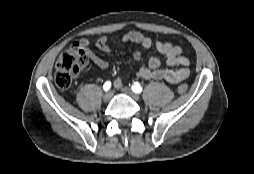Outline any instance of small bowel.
<instances>
[{"label": "small bowel", "instance_id": "obj_1", "mask_svg": "<svg viewBox=\"0 0 254 174\" xmlns=\"http://www.w3.org/2000/svg\"><path fill=\"white\" fill-rule=\"evenodd\" d=\"M121 42H132L140 44L142 47L149 49L154 47L161 55L164 56L169 69L161 68V61L156 57L149 58L146 63L141 65L137 75L145 80H165L171 84L179 83L189 76V59L182 55V49L170 42L153 41L150 37L143 35L137 31H130L124 34L120 39ZM90 42L83 38L80 40V45L86 49ZM95 47L103 52L111 51L110 41L106 37H99L94 41ZM91 61L101 68L106 70L108 62L91 51H88ZM135 60L139 61L142 58L140 51H135L133 54ZM115 87L119 88L122 85V80L115 81Z\"/></svg>", "mask_w": 254, "mask_h": 174}]
</instances>
